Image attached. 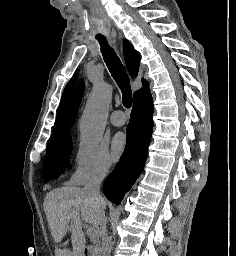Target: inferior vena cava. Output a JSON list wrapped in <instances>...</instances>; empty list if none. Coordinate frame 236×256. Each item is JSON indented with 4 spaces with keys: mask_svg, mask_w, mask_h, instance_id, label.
I'll return each instance as SVG.
<instances>
[{
    "mask_svg": "<svg viewBox=\"0 0 236 256\" xmlns=\"http://www.w3.org/2000/svg\"><path fill=\"white\" fill-rule=\"evenodd\" d=\"M105 176L106 168H103V166H96L94 170H91L89 178L85 184V188H83V192H86V194H89L90 198H94V200H96L100 212L105 204L104 198L100 196V186ZM100 236L102 240L101 256H111L110 238L107 234L105 220H103L101 224Z\"/></svg>",
    "mask_w": 236,
    "mask_h": 256,
    "instance_id": "1",
    "label": "inferior vena cava"
}]
</instances>
